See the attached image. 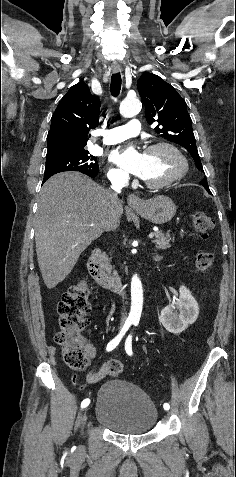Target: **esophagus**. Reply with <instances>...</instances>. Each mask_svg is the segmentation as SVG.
Segmentation results:
<instances>
[{
	"instance_id": "1",
	"label": "esophagus",
	"mask_w": 236,
	"mask_h": 477,
	"mask_svg": "<svg viewBox=\"0 0 236 477\" xmlns=\"http://www.w3.org/2000/svg\"><path fill=\"white\" fill-rule=\"evenodd\" d=\"M111 70L113 73H118L120 71V66L117 64H113L111 65ZM127 202L128 205L134 209H140L143 206L142 199L135 194H130L127 197Z\"/></svg>"
}]
</instances>
